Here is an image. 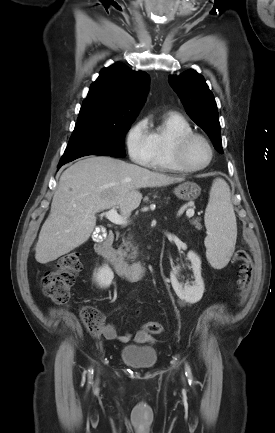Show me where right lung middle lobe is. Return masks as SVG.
<instances>
[{"mask_svg":"<svg viewBox=\"0 0 275 433\" xmlns=\"http://www.w3.org/2000/svg\"><path fill=\"white\" fill-rule=\"evenodd\" d=\"M132 122L77 121L59 164L88 155L125 157L124 138Z\"/></svg>","mask_w":275,"mask_h":433,"instance_id":"1","label":"right lung middle lobe"}]
</instances>
